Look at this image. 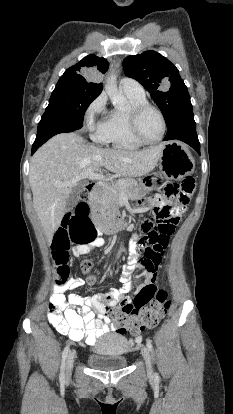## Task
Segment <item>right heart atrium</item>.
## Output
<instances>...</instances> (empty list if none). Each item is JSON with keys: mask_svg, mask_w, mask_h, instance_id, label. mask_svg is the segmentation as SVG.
Masks as SVG:
<instances>
[{"mask_svg": "<svg viewBox=\"0 0 233 414\" xmlns=\"http://www.w3.org/2000/svg\"><path fill=\"white\" fill-rule=\"evenodd\" d=\"M106 115V97L101 94L87 107L84 121L87 129L96 141L104 142V116Z\"/></svg>", "mask_w": 233, "mask_h": 414, "instance_id": "d8ad5b80", "label": "right heart atrium"}]
</instances>
